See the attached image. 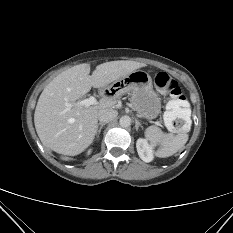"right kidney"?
<instances>
[{
	"instance_id": "ca27d5eb",
	"label": "right kidney",
	"mask_w": 233,
	"mask_h": 233,
	"mask_svg": "<svg viewBox=\"0 0 233 233\" xmlns=\"http://www.w3.org/2000/svg\"><path fill=\"white\" fill-rule=\"evenodd\" d=\"M90 153H91V150L88 151V154H90Z\"/></svg>"
}]
</instances>
